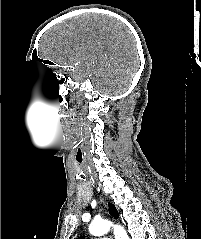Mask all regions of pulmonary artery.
I'll return each instance as SVG.
<instances>
[{
	"label": "pulmonary artery",
	"instance_id": "1",
	"mask_svg": "<svg viewBox=\"0 0 201 239\" xmlns=\"http://www.w3.org/2000/svg\"><path fill=\"white\" fill-rule=\"evenodd\" d=\"M98 239H108V238L105 237V238H98Z\"/></svg>",
	"mask_w": 201,
	"mask_h": 239
}]
</instances>
